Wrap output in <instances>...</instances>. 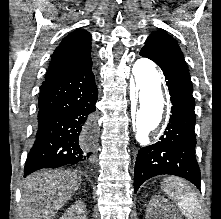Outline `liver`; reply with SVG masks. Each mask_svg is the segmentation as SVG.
<instances>
[{"instance_id":"obj_1","label":"liver","mask_w":221,"mask_h":219,"mask_svg":"<svg viewBox=\"0 0 221 219\" xmlns=\"http://www.w3.org/2000/svg\"><path fill=\"white\" fill-rule=\"evenodd\" d=\"M81 185L75 172L47 170L27 177L22 186L20 219H53Z\"/></svg>"}]
</instances>
